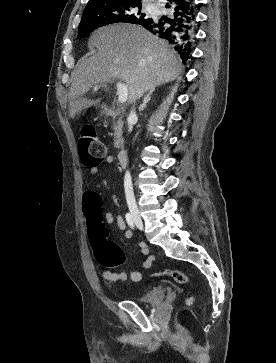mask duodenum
Here are the masks:
<instances>
[{
    "label": "duodenum",
    "mask_w": 276,
    "mask_h": 363,
    "mask_svg": "<svg viewBox=\"0 0 276 363\" xmlns=\"http://www.w3.org/2000/svg\"><path fill=\"white\" fill-rule=\"evenodd\" d=\"M103 112H104V115L107 117H117L119 115V112L116 109L111 108V107H104ZM117 159L121 166L126 165V159H127L126 149H121L118 152Z\"/></svg>",
    "instance_id": "obj_1"
}]
</instances>
